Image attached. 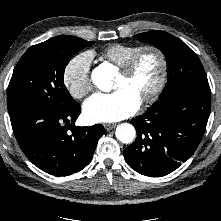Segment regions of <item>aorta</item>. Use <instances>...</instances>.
<instances>
[{
    "label": "aorta",
    "mask_w": 221,
    "mask_h": 221,
    "mask_svg": "<svg viewBox=\"0 0 221 221\" xmlns=\"http://www.w3.org/2000/svg\"><path fill=\"white\" fill-rule=\"evenodd\" d=\"M113 73L104 66H98L92 73V81L101 91L109 92L112 87ZM115 135L119 141L128 144L135 138L136 131L133 125L122 123L117 126Z\"/></svg>",
    "instance_id": "aorta-1"
}]
</instances>
